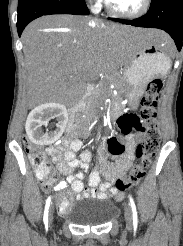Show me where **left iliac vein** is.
<instances>
[{
  "instance_id": "obj_1",
  "label": "left iliac vein",
  "mask_w": 183,
  "mask_h": 246,
  "mask_svg": "<svg viewBox=\"0 0 183 246\" xmlns=\"http://www.w3.org/2000/svg\"><path fill=\"white\" fill-rule=\"evenodd\" d=\"M125 220H126L127 228L130 229L133 223V215H132V209L128 204H126L125 206Z\"/></svg>"
}]
</instances>
